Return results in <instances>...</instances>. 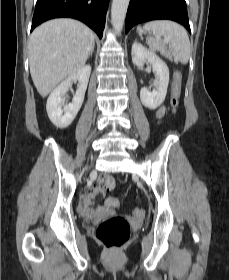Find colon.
<instances>
[{"label": "colon", "instance_id": "obj_1", "mask_svg": "<svg viewBox=\"0 0 229 280\" xmlns=\"http://www.w3.org/2000/svg\"><path fill=\"white\" fill-rule=\"evenodd\" d=\"M181 94V75L176 73L174 76L172 93H171V107L173 113H176ZM100 186L103 189H112L115 187V179L109 175L104 174L100 179ZM118 205V200L114 202ZM136 216H142L143 211L139 208L134 210ZM130 224L129 221L121 216H112L102 221L97 230L96 237L98 241L109 251L120 250L130 238Z\"/></svg>", "mask_w": 229, "mask_h": 280}]
</instances>
